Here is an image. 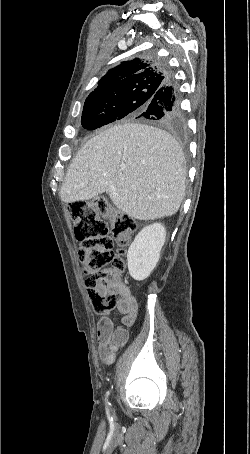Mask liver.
Instances as JSON below:
<instances>
[{"label":"liver","instance_id":"obj_1","mask_svg":"<svg viewBox=\"0 0 250 454\" xmlns=\"http://www.w3.org/2000/svg\"><path fill=\"white\" fill-rule=\"evenodd\" d=\"M184 162L181 148L168 132L139 123L115 125L81 147L60 196L72 203L106 192L132 218L172 216L185 196Z\"/></svg>","mask_w":250,"mask_h":454}]
</instances>
